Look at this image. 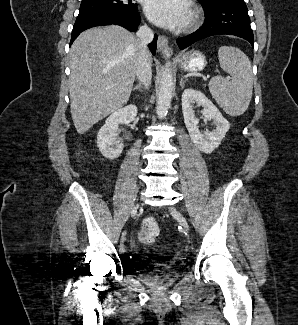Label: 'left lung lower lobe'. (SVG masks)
<instances>
[{"mask_svg": "<svg viewBox=\"0 0 298 325\" xmlns=\"http://www.w3.org/2000/svg\"><path fill=\"white\" fill-rule=\"evenodd\" d=\"M206 9L205 22L196 32L177 39L181 50L213 35L231 34L246 39L253 46L254 37L244 0H223Z\"/></svg>", "mask_w": 298, "mask_h": 325, "instance_id": "1", "label": "left lung lower lobe"}]
</instances>
